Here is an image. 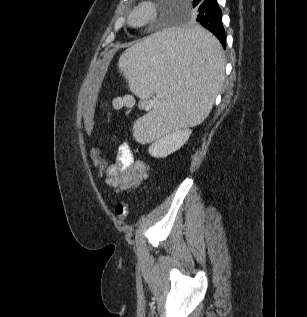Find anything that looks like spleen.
<instances>
[{
  "mask_svg": "<svg viewBox=\"0 0 307 317\" xmlns=\"http://www.w3.org/2000/svg\"><path fill=\"white\" fill-rule=\"evenodd\" d=\"M118 66L135 95L156 94L152 112L133 127L144 143L205 120L223 85L225 59L205 26H176L149 33L121 55Z\"/></svg>",
  "mask_w": 307,
  "mask_h": 317,
  "instance_id": "1",
  "label": "spleen"
}]
</instances>
